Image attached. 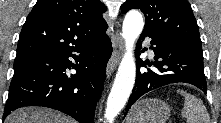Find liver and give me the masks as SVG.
Returning a JSON list of instances; mask_svg holds the SVG:
<instances>
[{
  "label": "liver",
  "mask_w": 221,
  "mask_h": 123,
  "mask_svg": "<svg viewBox=\"0 0 221 123\" xmlns=\"http://www.w3.org/2000/svg\"><path fill=\"white\" fill-rule=\"evenodd\" d=\"M5 123H74V121L47 108L25 107L12 112Z\"/></svg>",
  "instance_id": "6515ba94"
}]
</instances>
